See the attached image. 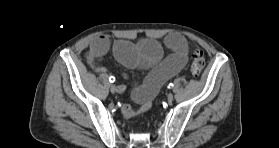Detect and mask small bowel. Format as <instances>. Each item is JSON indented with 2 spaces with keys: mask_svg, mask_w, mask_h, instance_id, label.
Segmentation results:
<instances>
[{
  "mask_svg": "<svg viewBox=\"0 0 279 148\" xmlns=\"http://www.w3.org/2000/svg\"><path fill=\"white\" fill-rule=\"evenodd\" d=\"M164 44L171 51L166 57L163 56L161 44L155 40L147 39L138 44L128 41L114 43L113 51L120 63L131 69L149 70L143 84L132 91V99L138 106H122L125 117H133L146 111L162 85L186 65L189 45L184 36L170 33L165 37ZM110 46V38L107 35H99L92 40L87 54V62L92 69L100 73L106 72L100 65V60L109 51Z\"/></svg>",
  "mask_w": 279,
  "mask_h": 148,
  "instance_id": "obj_1",
  "label": "small bowel"
}]
</instances>
